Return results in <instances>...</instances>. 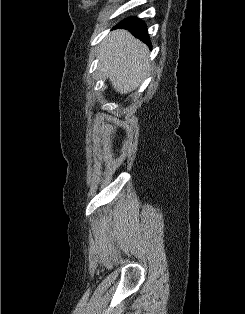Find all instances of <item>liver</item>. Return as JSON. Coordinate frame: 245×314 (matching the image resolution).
<instances>
[{"mask_svg": "<svg viewBox=\"0 0 245 314\" xmlns=\"http://www.w3.org/2000/svg\"><path fill=\"white\" fill-rule=\"evenodd\" d=\"M148 47L126 30L113 31L99 46V69L120 94L135 90L150 71Z\"/></svg>", "mask_w": 245, "mask_h": 314, "instance_id": "6515ba94", "label": "liver"}]
</instances>
